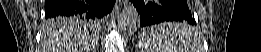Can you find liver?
I'll return each instance as SVG.
<instances>
[{
    "instance_id": "6515ba94",
    "label": "liver",
    "mask_w": 261,
    "mask_h": 52,
    "mask_svg": "<svg viewBox=\"0 0 261 52\" xmlns=\"http://www.w3.org/2000/svg\"><path fill=\"white\" fill-rule=\"evenodd\" d=\"M93 29L82 22L47 20L41 31L45 52H92L95 46Z\"/></svg>"
}]
</instances>
